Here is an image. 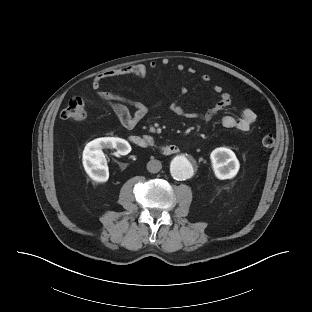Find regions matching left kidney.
<instances>
[{
	"label": "left kidney",
	"mask_w": 312,
	"mask_h": 312,
	"mask_svg": "<svg viewBox=\"0 0 312 312\" xmlns=\"http://www.w3.org/2000/svg\"><path fill=\"white\" fill-rule=\"evenodd\" d=\"M210 159L214 174L218 179H232L237 175L240 164L231 149L216 148L211 152Z\"/></svg>",
	"instance_id": "obj_1"
}]
</instances>
